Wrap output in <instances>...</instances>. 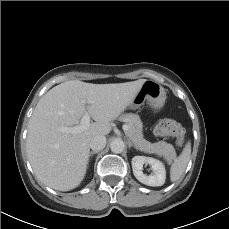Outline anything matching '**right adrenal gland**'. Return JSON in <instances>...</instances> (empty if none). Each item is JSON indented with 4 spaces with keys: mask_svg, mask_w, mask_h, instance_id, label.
I'll return each instance as SVG.
<instances>
[{
    "mask_svg": "<svg viewBox=\"0 0 229 229\" xmlns=\"http://www.w3.org/2000/svg\"><path fill=\"white\" fill-rule=\"evenodd\" d=\"M97 153H98V151L90 152L89 155H88V160L90 159V157H92L94 154H97Z\"/></svg>",
    "mask_w": 229,
    "mask_h": 229,
    "instance_id": "right-adrenal-gland-1",
    "label": "right adrenal gland"
}]
</instances>
